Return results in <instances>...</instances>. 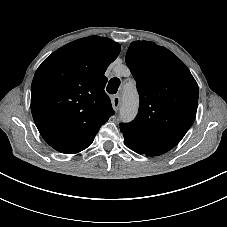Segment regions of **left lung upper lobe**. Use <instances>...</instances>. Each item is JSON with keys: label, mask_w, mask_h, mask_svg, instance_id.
Masks as SVG:
<instances>
[{"label": "left lung upper lobe", "mask_w": 227, "mask_h": 227, "mask_svg": "<svg viewBox=\"0 0 227 227\" xmlns=\"http://www.w3.org/2000/svg\"><path fill=\"white\" fill-rule=\"evenodd\" d=\"M126 64L137 82L140 105L132 122L120 124L125 144L139 154H164L194 122L198 85L176 55L153 42H132Z\"/></svg>", "instance_id": "left-lung-upper-lobe-1"}]
</instances>
